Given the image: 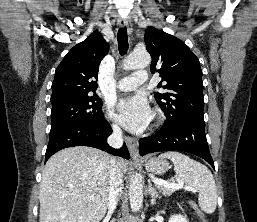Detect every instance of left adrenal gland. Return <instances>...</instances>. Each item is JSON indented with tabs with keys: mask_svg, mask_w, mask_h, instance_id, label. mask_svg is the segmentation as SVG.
<instances>
[{
	"mask_svg": "<svg viewBox=\"0 0 257 222\" xmlns=\"http://www.w3.org/2000/svg\"><path fill=\"white\" fill-rule=\"evenodd\" d=\"M148 193L151 197V204H155L156 203V199L159 198V193L156 191V189L154 187H152V183L150 180H148Z\"/></svg>",
	"mask_w": 257,
	"mask_h": 222,
	"instance_id": "1",
	"label": "left adrenal gland"
}]
</instances>
